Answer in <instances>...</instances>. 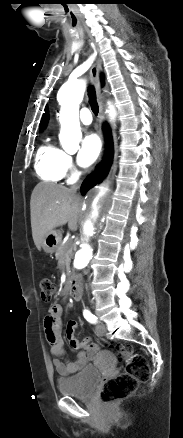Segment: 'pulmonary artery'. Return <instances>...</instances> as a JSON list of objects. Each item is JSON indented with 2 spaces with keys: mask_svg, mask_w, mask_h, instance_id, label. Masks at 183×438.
Returning a JSON list of instances; mask_svg holds the SVG:
<instances>
[{
  "mask_svg": "<svg viewBox=\"0 0 183 438\" xmlns=\"http://www.w3.org/2000/svg\"><path fill=\"white\" fill-rule=\"evenodd\" d=\"M79 116H80V121L85 125H89L92 122L91 111L86 107L80 110Z\"/></svg>",
  "mask_w": 183,
  "mask_h": 438,
  "instance_id": "e3ab8cb5",
  "label": "pulmonary artery"
}]
</instances>
